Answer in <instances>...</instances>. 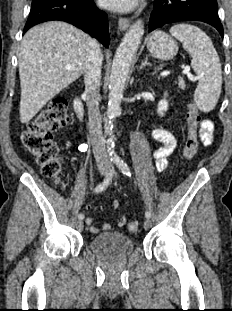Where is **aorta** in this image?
Wrapping results in <instances>:
<instances>
[{
  "mask_svg": "<svg viewBox=\"0 0 232 311\" xmlns=\"http://www.w3.org/2000/svg\"><path fill=\"white\" fill-rule=\"evenodd\" d=\"M143 34V22L142 20H138L130 26L115 53L109 84V102L107 108L109 120L105 123V133L109 136L113 133L112 119L121 114L120 103L123 98L129 68L141 44ZM114 147V142L107 140V148L111 156L114 155Z\"/></svg>",
  "mask_w": 232,
  "mask_h": 311,
  "instance_id": "1",
  "label": "aorta"
}]
</instances>
